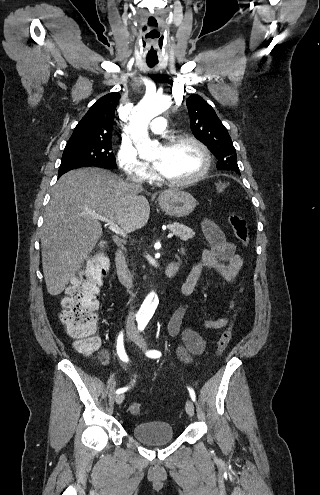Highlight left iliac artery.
<instances>
[{"instance_id":"1","label":"left iliac artery","mask_w":320,"mask_h":495,"mask_svg":"<svg viewBox=\"0 0 320 495\" xmlns=\"http://www.w3.org/2000/svg\"><path fill=\"white\" fill-rule=\"evenodd\" d=\"M147 323H148V320L147 319H141V320H139L138 321V329L140 331H143L144 328L146 327ZM146 355L148 357H151V358H159L161 356V352L158 351V350H150V351H148L146 353ZM188 390H189V393H190V396H191L192 400L195 401L196 400V396H195L194 390L192 388H189V387H188Z\"/></svg>"}]
</instances>
